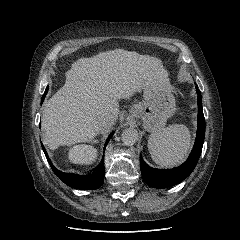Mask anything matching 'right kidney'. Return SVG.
Wrapping results in <instances>:
<instances>
[{
  "label": "right kidney",
  "mask_w": 240,
  "mask_h": 240,
  "mask_svg": "<svg viewBox=\"0 0 240 240\" xmlns=\"http://www.w3.org/2000/svg\"><path fill=\"white\" fill-rule=\"evenodd\" d=\"M69 160L74 164H92L97 157V150L90 145H75L69 150Z\"/></svg>",
  "instance_id": "1"
}]
</instances>
